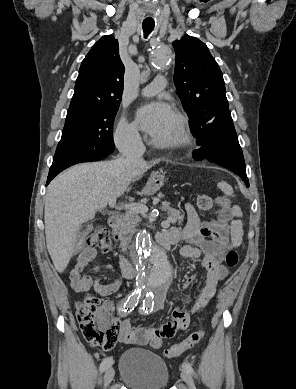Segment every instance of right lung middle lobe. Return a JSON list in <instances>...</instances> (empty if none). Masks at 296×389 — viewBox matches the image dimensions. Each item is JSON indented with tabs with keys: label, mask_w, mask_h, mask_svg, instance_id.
<instances>
[{
	"label": "right lung middle lobe",
	"mask_w": 296,
	"mask_h": 389,
	"mask_svg": "<svg viewBox=\"0 0 296 389\" xmlns=\"http://www.w3.org/2000/svg\"><path fill=\"white\" fill-rule=\"evenodd\" d=\"M119 106L98 108L66 119L51 168L102 160L114 150L113 123Z\"/></svg>",
	"instance_id": "obj_1"
}]
</instances>
